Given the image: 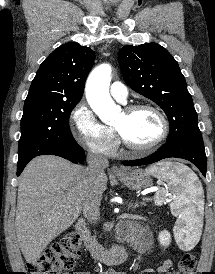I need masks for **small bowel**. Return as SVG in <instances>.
Masks as SVG:
<instances>
[{"mask_svg":"<svg viewBox=\"0 0 215 274\" xmlns=\"http://www.w3.org/2000/svg\"><path fill=\"white\" fill-rule=\"evenodd\" d=\"M172 266H173L172 261L170 259H166L156 269H150V268L145 269L143 270V273L158 272V273H165V274H177V272L172 271ZM65 274H70V273H65ZM74 274H89V273L86 271H82V272H76ZM101 274H124V273L108 270V271L102 272Z\"/></svg>","mask_w":215,"mask_h":274,"instance_id":"obj_1","label":"small bowel"}]
</instances>
